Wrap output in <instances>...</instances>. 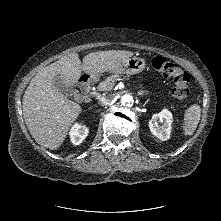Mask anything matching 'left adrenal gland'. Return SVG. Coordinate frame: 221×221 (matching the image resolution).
I'll return each instance as SVG.
<instances>
[{"instance_id": "1", "label": "left adrenal gland", "mask_w": 221, "mask_h": 221, "mask_svg": "<svg viewBox=\"0 0 221 221\" xmlns=\"http://www.w3.org/2000/svg\"><path fill=\"white\" fill-rule=\"evenodd\" d=\"M144 94H148V92H144V91L138 92V95H140V96H142Z\"/></svg>"}]
</instances>
